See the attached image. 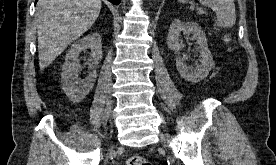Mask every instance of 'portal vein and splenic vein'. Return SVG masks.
Here are the masks:
<instances>
[{
	"instance_id": "1",
	"label": "portal vein and splenic vein",
	"mask_w": 276,
	"mask_h": 165,
	"mask_svg": "<svg viewBox=\"0 0 276 165\" xmlns=\"http://www.w3.org/2000/svg\"><path fill=\"white\" fill-rule=\"evenodd\" d=\"M199 13H204V10L202 8L198 9Z\"/></svg>"
}]
</instances>
